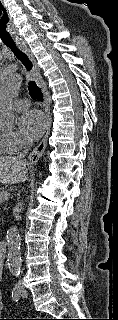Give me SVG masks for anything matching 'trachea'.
I'll return each mask as SVG.
<instances>
[{"label":"trachea","mask_w":118,"mask_h":320,"mask_svg":"<svg viewBox=\"0 0 118 320\" xmlns=\"http://www.w3.org/2000/svg\"><path fill=\"white\" fill-rule=\"evenodd\" d=\"M7 47H9L15 56L23 63L27 71H30L32 68V62L29 57L25 53L21 52L16 45H8ZM28 90L32 98L43 101V94L34 81L29 82Z\"/></svg>","instance_id":"obj_1"}]
</instances>
